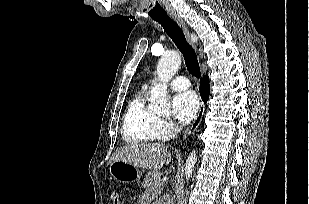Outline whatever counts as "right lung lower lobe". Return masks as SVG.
I'll use <instances>...</instances> for the list:
<instances>
[{
	"instance_id": "98d812e1",
	"label": "right lung lower lobe",
	"mask_w": 309,
	"mask_h": 204,
	"mask_svg": "<svg viewBox=\"0 0 309 204\" xmlns=\"http://www.w3.org/2000/svg\"><path fill=\"white\" fill-rule=\"evenodd\" d=\"M200 93H201V97H202L203 101L206 102L208 97H209V93H210L208 76H204L202 78V82H201V85H200Z\"/></svg>"
}]
</instances>
